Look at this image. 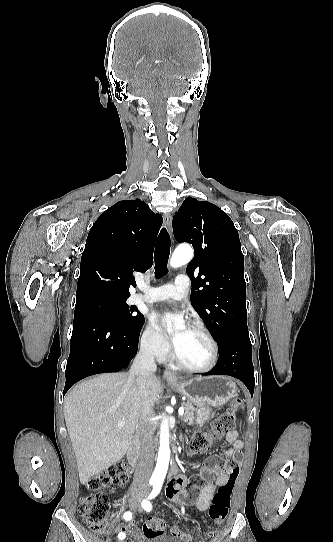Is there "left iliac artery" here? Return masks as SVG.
<instances>
[{"mask_svg":"<svg viewBox=\"0 0 333 542\" xmlns=\"http://www.w3.org/2000/svg\"><path fill=\"white\" fill-rule=\"evenodd\" d=\"M161 487H162V482H157V483H154V487H153V490L151 492V494L149 495V499H153L155 498L160 490H161ZM142 507L144 508V510H146L147 512L151 511L152 509V505L150 503V501H147V500H144L142 502ZM182 512L184 513V508H182Z\"/></svg>","mask_w":333,"mask_h":542,"instance_id":"44dca946","label":"left iliac artery"}]
</instances>
